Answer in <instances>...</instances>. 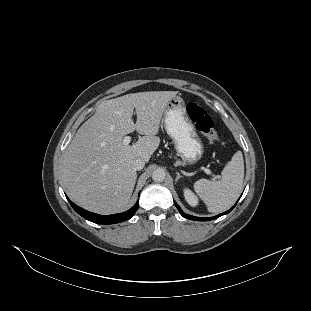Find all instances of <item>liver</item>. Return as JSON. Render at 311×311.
<instances>
[{"mask_svg":"<svg viewBox=\"0 0 311 311\" xmlns=\"http://www.w3.org/2000/svg\"><path fill=\"white\" fill-rule=\"evenodd\" d=\"M178 94L150 91L107 100L80 126L61 165L67 194L79 206L100 214L128 206L137 179L132 163L139 157L147 164L159 148L167 105ZM134 131L142 137L124 145V137Z\"/></svg>","mask_w":311,"mask_h":311,"instance_id":"1","label":"liver"}]
</instances>
